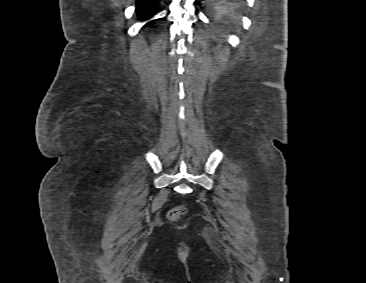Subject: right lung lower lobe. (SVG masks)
<instances>
[{
	"instance_id": "98d812e1",
	"label": "right lung lower lobe",
	"mask_w": 366,
	"mask_h": 283,
	"mask_svg": "<svg viewBox=\"0 0 366 283\" xmlns=\"http://www.w3.org/2000/svg\"><path fill=\"white\" fill-rule=\"evenodd\" d=\"M158 1L159 0H136V11L141 20L149 19L154 15Z\"/></svg>"
}]
</instances>
